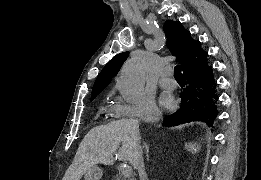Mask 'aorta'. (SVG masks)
I'll use <instances>...</instances> for the list:
<instances>
[{
    "label": "aorta",
    "instance_id": "aorta-1",
    "mask_svg": "<svg viewBox=\"0 0 261 180\" xmlns=\"http://www.w3.org/2000/svg\"><path fill=\"white\" fill-rule=\"evenodd\" d=\"M145 73L146 63L138 57H132L123 65L117 87L127 102H140L144 92Z\"/></svg>",
    "mask_w": 261,
    "mask_h": 180
}]
</instances>
